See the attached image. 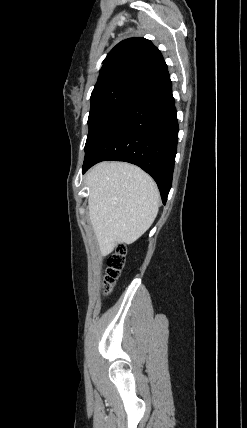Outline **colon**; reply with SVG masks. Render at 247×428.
<instances>
[{"mask_svg":"<svg viewBox=\"0 0 247 428\" xmlns=\"http://www.w3.org/2000/svg\"><path fill=\"white\" fill-rule=\"evenodd\" d=\"M126 248L119 246L107 259V271L104 279V292L109 294L125 265Z\"/></svg>","mask_w":247,"mask_h":428,"instance_id":"obj_1","label":"colon"}]
</instances>
